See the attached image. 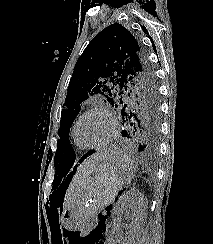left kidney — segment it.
Segmentation results:
<instances>
[{"label":"left kidney","instance_id":"1","mask_svg":"<svg viewBox=\"0 0 213 244\" xmlns=\"http://www.w3.org/2000/svg\"><path fill=\"white\" fill-rule=\"evenodd\" d=\"M143 204V196L134 191L128 192L125 196L119 199L113 209V219L118 221L126 211L132 223L129 225L127 236L121 241V244H135L136 232L139 229L140 209ZM130 210L132 213H130ZM112 244V240H111Z\"/></svg>","mask_w":213,"mask_h":244}]
</instances>
